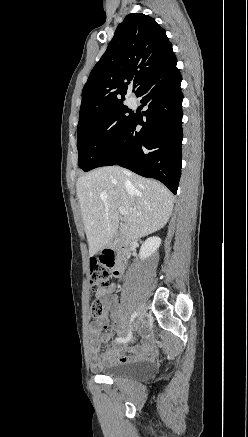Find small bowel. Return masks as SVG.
I'll return each mask as SVG.
<instances>
[{
	"label": "small bowel",
	"mask_w": 248,
	"mask_h": 437,
	"mask_svg": "<svg viewBox=\"0 0 248 437\" xmlns=\"http://www.w3.org/2000/svg\"><path fill=\"white\" fill-rule=\"evenodd\" d=\"M114 291V284H109L97 292V296L103 299L111 310H116L118 306V298L114 294ZM107 327V318H103V320L99 322H94L90 326V365L92 370H99L104 365L121 364L132 360L145 359L152 355V347L150 345L148 335L143 327L140 328V334L143 338V343L141 345H122V343L117 341L115 346L107 348L103 354H100L101 345L103 342L108 343L114 339L117 340V338H114L112 335H106L101 338V330Z\"/></svg>",
	"instance_id": "small-bowel-1"
}]
</instances>
